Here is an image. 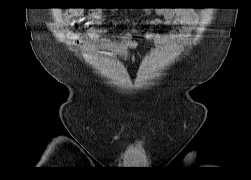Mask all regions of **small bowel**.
<instances>
[{
    "mask_svg": "<svg viewBox=\"0 0 251 180\" xmlns=\"http://www.w3.org/2000/svg\"><path fill=\"white\" fill-rule=\"evenodd\" d=\"M156 14L158 17L154 19V24L179 26L177 30L169 33L150 32L144 35L145 38L162 46L187 42L190 39L191 30L200 21L199 13L191 9H162L158 10ZM103 17L104 11L102 9H92L86 13L80 10H68L64 14V21L67 24L84 21L89 25H98ZM102 33V30L93 27L88 31L87 36L92 43L124 56L137 44L130 33L123 34L117 41L103 38ZM66 35L69 39L76 40L78 38V35L73 31L66 32Z\"/></svg>",
    "mask_w": 251,
    "mask_h": 180,
    "instance_id": "small-bowel-1",
    "label": "small bowel"
}]
</instances>
